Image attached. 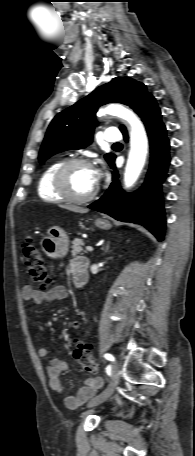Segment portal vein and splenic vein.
Masks as SVG:
<instances>
[{
	"instance_id": "portal-vein-and-splenic-vein-1",
	"label": "portal vein and splenic vein",
	"mask_w": 195,
	"mask_h": 456,
	"mask_svg": "<svg viewBox=\"0 0 195 456\" xmlns=\"http://www.w3.org/2000/svg\"><path fill=\"white\" fill-rule=\"evenodd\" d=\"M86 250L89 251V252H92L93 248L91 246H86Z\"/></svg>"
}]
</instances>
